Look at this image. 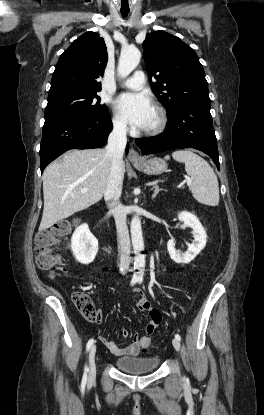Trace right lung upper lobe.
<instances>
[{
    "mask_svg": "<svg viewBox=\"0 0 264 415\" xmlns=\"http://www.w3.org/2000/svg\"><path fill=\"white\" fill-rule=\"evenodd\" d=\"M108 60L104 39L87 32L61 54L51 80L49 96L67 91L101 90L99 79Z\"/></svg>",
    "mask_w": 264,
    "mask_h": 415,
    "instance_id": "right-lung-upper-lobe-1",
    "label": "right lung upper lobe"
}]
</instances>
